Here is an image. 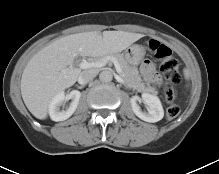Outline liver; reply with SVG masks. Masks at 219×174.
<instances>
[{
    "label": "liver",
    "mask_w": 219,
    "mask_h": 174,
    "mask_svg": "<svg viewBox=\"0 0 219 174\" xmlns=\"http://www.w3.org/2000/svg\"><path fill=\"white\" fill-rule=\"evenodd\" d=\"M142 37L124 31H97L68 35L55 40L27 63L21 78V95L28 110L46 119L54 96L73 86L81 74L74 59L101 57L125 50Z\"/></svg>",
    "instance_id": "liver-1"
}]
</instances>
